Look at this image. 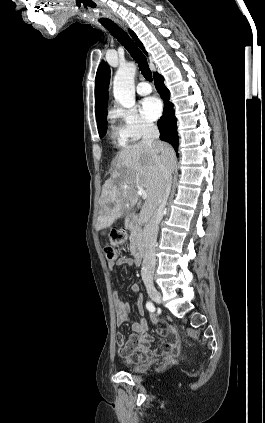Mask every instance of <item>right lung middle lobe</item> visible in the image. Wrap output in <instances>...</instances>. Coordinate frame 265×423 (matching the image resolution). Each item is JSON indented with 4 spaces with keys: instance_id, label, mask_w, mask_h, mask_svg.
I'll list each match as a JSON object with an SVG mask.
<instances>
[{
    "instance_id": "obj_1",
    "label": "right lung middle lobe",
    "mask_w": 265,
    "mask_h": 423,
    "mask_svg": "<svg viewBox=\"0 0 265 423\" xmlns=\"http://www.w3.org/2000/svg\"><path fill=\"white\" fill-rule=\"evenodd\" d=\"M107 115H105L99 123H97L100 138L104 137L107 131Z\"/></svg>"
}]
</instances>
